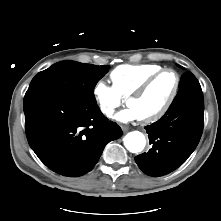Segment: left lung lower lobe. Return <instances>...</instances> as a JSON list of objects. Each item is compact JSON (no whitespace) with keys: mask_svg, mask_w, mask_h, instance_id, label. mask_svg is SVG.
Listing matches in <instances>:
<instances>
[{"mask_svg":"<svg viewBox=\"0 0 221 221\" xmlns=\"http://www.w3.org/2000/svg\"><path fill=\"white\" fill-rule=\"evenodd\" d=\"M203 94L198 82H187L182 94L158 121L145 129L152 148L135 157L147 175H166L181 166L198 145L204 125Z\"/></svg>","mask_w":221,"mask_h":221,"instance_id":"obj_1","label":"left lung lower lobe"}]
</instances>
